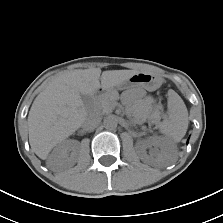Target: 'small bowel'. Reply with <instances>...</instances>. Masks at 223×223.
Returning <instances> with one entry per match:
<instances>
[{
	"label": "small bowel",
	"mask_w": 223,
	"mask_h": 223,
	"mask_svg": "<svg viewBox=\"0 0 223 223\" xmlns=\"http://www.w3.org/2000/svg\"><path fill=\"white\" fill-rule=\"evenodd\" d=\"M145 103H146V105L147 106H151L153 103H154V99L152 98V97H147L146 99H145ZM158 109H155L154 111H153V117L154 118H157L158 117Z\"/></svg>",
	"instance_id": "c3829d8e"
}]
</instances>
